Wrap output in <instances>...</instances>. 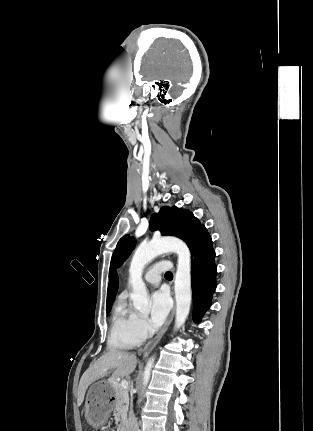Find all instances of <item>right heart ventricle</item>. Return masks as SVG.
<instances>
[{
    "instance_id": "obj_1",
    "label": "right heart ventricle",
    "mask_w": 313,
    "mask_h": 431,
    "mask_svg": "<svg viewBox=\"0 0 313 431\" xmlns=\"http://www.w3.org/2000/svg\"><path fill=\"white\" fill-rule=\"evenodd\" d=\"M136 313L120 300L114 309L109 346L113 349H131L138 346L142 339L135 331Z\"/></svg>"
}]
</instances>
